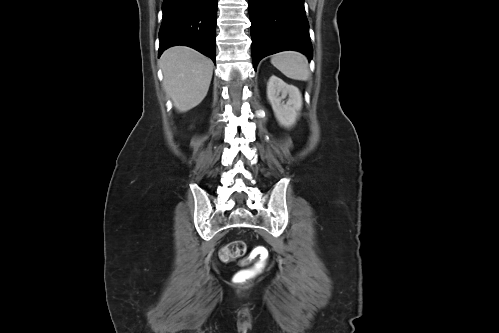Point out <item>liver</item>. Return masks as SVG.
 Wrapping results in <instances>:
<instances>
[{
    "instance_id": "1",
    "label": "liver",
    "mask_w": 499,
    "mask_h": 333,
    "mask_svg": "<svg viewBox=\"0 0 499 333\" xmlns=\"http://www.w3.org/2000/svg\"><path fill=\"white\" fill-rule=\"evenodd\" d=\"M166 95L179 112L196 107L207 95L213 74V62L198 51L175 46L161 56Z\"/></svg>"
}]
</instances>
